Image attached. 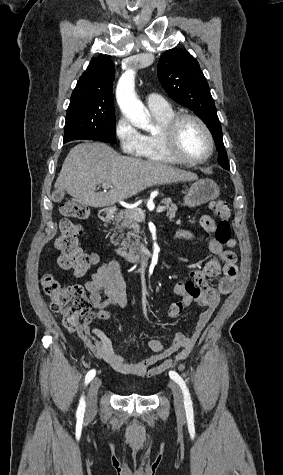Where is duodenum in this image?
I'll return each instance as SVG.
<instances>
[{
	"label": "duodenum",
	"instance_id": "1",
	"mask_svg": "<svg viewBox=\"0 0 283 475\" xmlns=\"http://www.w3.org/2000/svg\"><path fill=\"white\" fill-rule=\"evenodd\" d=\"M113 216L114 211L109 208L101 209L99 212V219L105 223L110 222ZM122 257L128 262H140L144 258V255L140 253H124Z\"/></svg>",
	"mask_w": 283,
	"mask_h": 475
}]
</instances>
